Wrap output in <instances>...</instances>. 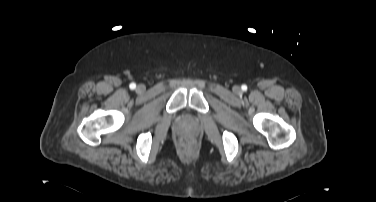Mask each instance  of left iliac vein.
<instances>
[{
    "label": "left iliac vein",
    "instance_id": "left-iliac-vein-1",
    "mask_svg": "<svg viewBox=\"0 0 376 202\" xmlns=\"http://www.w3.org/2000/svg\"><path fill=\"white\" fill-rule=\"evenodd\" d=\"M234 90H235V92H240V87L236 86V87L234 88Z\"/></svg>",
    "mask_w": 376,
    "mask_h": 202
}]
</instances>
